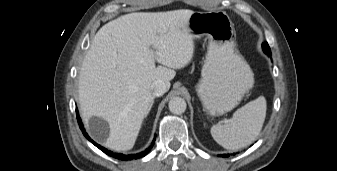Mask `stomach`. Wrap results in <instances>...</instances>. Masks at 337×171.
I'll use <instances>...</instances> for the list:
<instances>
[{
	"instance_id": "stomach-1",
	"label": "stomach",
	"mask_w": 337,
	"mask_h": 171,
	"mask_svg": "<svg viewBox=\"0 0 337 171\" xmlns=\"http://www.w3.org/2000/svg\"><path fill=\"white\" fill-rule=\"evenodd\" d=\"M188 29L193 38L208 40L196 92L208 116H221L234 109L253 87L254 74L236 49L235 30L226 12H194Z\"/></svg>"
}]
</instances>
